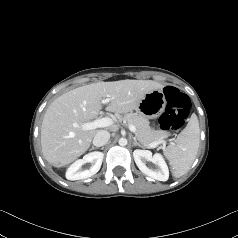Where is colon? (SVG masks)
Instances as JSON below:
<instances>
[{
	"label": "colon",
	"instance_id": "colon-1",
	"mask_svg": "<svg viewBox=\"0 0 238 238\" xmlns=\"http://www.w3.org/2000/svg\"><path fill=\"white\" fill-rule=\"evenodd\" d=\"M166 109L159 118V125L165 131L178 130L187 119L190 100L187 95L173 86L164 89Z\"/></svg>",
	"mask_w": 238,
	"mask_h": 238
}]
</instances>
